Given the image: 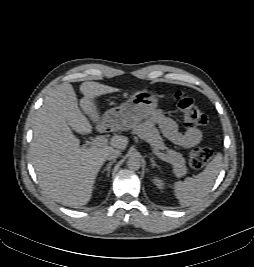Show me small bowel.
Returning <instances> with one entry per match:
<instances>
[{
	"label": "small bowel",
	"mask_w": 254,
	"mask_h": 267,
	"mask_svg": "<svg viewBox=\"0 0 254 267\" xmlns=\"http://www.w3.org/2000/svg\"><path fill=\"white\" fill-rule=\"evenodd\" d=\"M152 121L162 130L164 135L174 144L184 148H191L199 144L202 139V133L199 129L191 128L185 132L178 129L177 124L171 118L165 116L160 111L152 115Z\"/></svg>",
	"instance_id": "1"
}]
</instances>
